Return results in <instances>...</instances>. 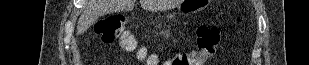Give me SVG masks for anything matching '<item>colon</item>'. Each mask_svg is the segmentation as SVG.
Here are the masks:
<instances>
[{
  "label": "colon",
  "instance_id": "1",
  "mask_svg": "<svg viewBox=\"0 0 309 65\" xmlns=\"http://www.w3.org/2000/svg\"><path fill=\"white\" fill-rule=\"evenodd\" d=\"M129 19L123 14H113L100 19L95 25V33L105 44L119 41L127 51H136L140 59L156 62V56L148 55L145 49L139 48L132 35L127 33ZM221 32L218 27L201 25L196 31V49L174 55L165 65H202L213 55L219 45Z\"/></svg>",
  "mask_w": 309,
  "mask_h": 65
}]
</instances>
